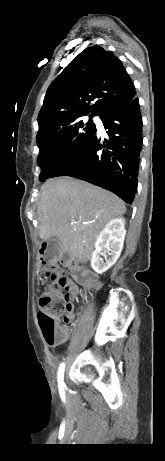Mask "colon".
I'll list each match as a JSON object with an SVG mask.
<instances>
[{
  "label": "colon",
  "instance_id": "5ec220e1",
  "mask_svg": "<svg viewBox=\"0 0 165 461\" xmlns=\"http://www.w3.org/2000/svg\"><path fill=\"white\" fill-rule=\"evenodd\" d=\"M40 269L50 280L47 291L39 299L38 321L46 342L55 345L61 338L56 318L69 313L62 301L63 291H68V280L64 277L57 261V253L52 243H44L39 260Z\"/></svg>",
  "mask_w": 165,
  "mask_h": 461
}]
</instances>
